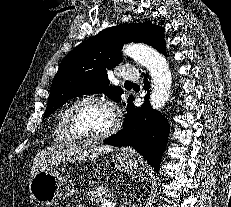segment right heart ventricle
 Here are the masks:
<instances>
[{"instance_id": "obj_1", "label": "right heart ventricle", "mask_w": 231, "mask_h": 207, "mask_svg": "<svg viewBox=\"0 0 231 207\" xmlns=\"http://www.w3.org/2000/svg\"><path fill=\"white\" fill-rule=\"evenodd\" d=\"M68 106L64 107L59 114L57 115L53 134L54 138L60 143H71L76 139L68 132L65 122V113L67 111Z\"/></svg>"}]
</instances>
